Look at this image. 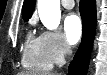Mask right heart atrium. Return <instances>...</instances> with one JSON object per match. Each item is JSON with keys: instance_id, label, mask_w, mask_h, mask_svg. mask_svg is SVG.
I'll return each mask as SVG.
<instances>
[{"instance_id": "d8ad5b80", "label": "right heart atrium", "mask_w": 107, "mask_h": 75, "mask_svg": "<svg viewBox=\"0 0 107 75\" xmlns=\"http://www.w3.org/2000/svg\"><path fill=\"white\" fill-rule=\"evenodd\" d=\"M45 52L53 65H61L71 53L64 36L55 31H44L40 35Z\"/></svg>"}]
</instances>
